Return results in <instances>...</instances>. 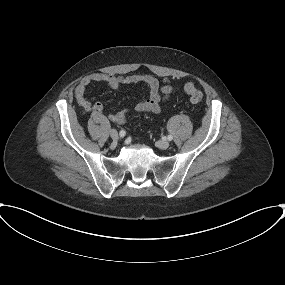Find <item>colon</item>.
Masks as SVG:
<instances>
[{"instance_id":"1","label":"colon","mask_w":285,"mask_h":285,"mask_svg":"<svg viewBox=\"0 0 285 285\" xmlns=\"http://www.w3.org/2000/svg\"><path fill=\"white\" fill-rule=\"evenodd\" d=\"M184 91L190 97L192 103L198 104L202 101L203 94L193 83H186Z\"/></svg>"}]
</instances>
